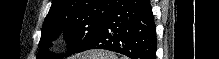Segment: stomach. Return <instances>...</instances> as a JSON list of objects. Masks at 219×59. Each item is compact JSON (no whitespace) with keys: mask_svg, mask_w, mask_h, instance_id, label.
<instances>
[{"mask_svg":"<svg viewBox=\"0 0 219 59\" xmlns=\"http://www.w3.org/2000/svg\"><path fill=\"white\" fill-rule=\"evenodd\" d=\"M93 56H98L99 54H97V52H92Z\"/></svg>","mask_w":219,"mask_h":59,"instance_id":"stomach-1","label":"stomach"}]
</instances>
